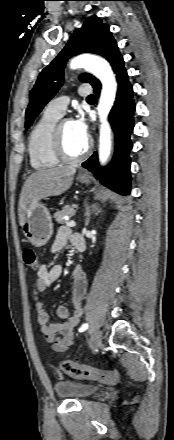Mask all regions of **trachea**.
I'll return each mask as SVG.
<instances>
[{"instance_id":"obj_1","label":"trachea","mask_w":174,"mask_h":440,"mask_svg":"<svg viewBox=\"0 0 174 440\" xmlns=\"http://www.w3.org/2000/svg\"><path fill=\"white\" fill-rule=\"evenodd\" d=\"M96 97L94 96V95H89L88 97H87V100H94Z\"/></svg>"}]
</instances>
